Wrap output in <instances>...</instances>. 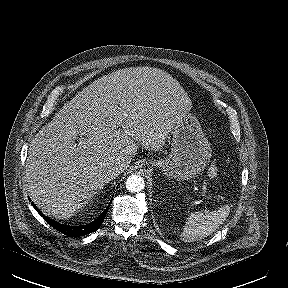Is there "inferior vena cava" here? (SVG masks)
<instances>
[{
	"label": "inferior vena cava",
	"instance_id": "obj_1",
	"mask_svg": "<svg viewBox=\"0 0 288 288\" xmlns=\"http://www.w3.org/2000/svg\"><path fill=\"white\" fill-rule=\"evenodd\" d=\"M122 170V164H110L103 169L102 173L108 180H112L116 178L122 172Z\"/></svg>",
	"mask_w": 288,
	"mask_h": 288
}]
</instances>
